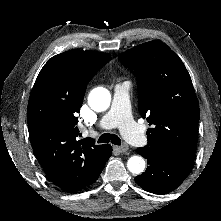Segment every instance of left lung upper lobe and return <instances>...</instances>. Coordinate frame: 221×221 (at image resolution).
<instances>
[{
    "label": "left lung upper lobe",
    "mask_w": 221,
    "mask_h": 221,
    "mask_svg": "<svg viewBox=\"0 0 221 221\" xmlns=\"http://www.w3.org/2000/svg\"><path fill=\"white\" fill-rule=\"evenodd\" d=\"M119 59L134 71L138 109L152 125L147 130L148 144L142 148L193 160L200 110L180 58L165 43L153 40L123 52Z\"/></svg>",
    "instance_id": "1"
}]
</instances>
